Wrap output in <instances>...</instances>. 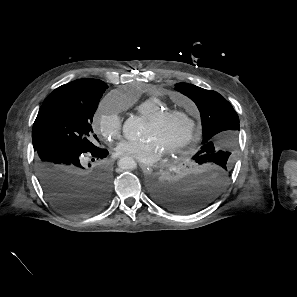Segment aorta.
<instances>
[{"label":"aorta","mask_w":297,"mask_h":297,"mask_svg":"<svg viewBox=\"0 0 297 297\" xmlns=\"http://www.w3.org/2000/svg\"><path fill=\"white\" fill-rule=\"evenodd\" d=\"M143 122L140 118L129 117L123 124L124 137L130 141H137L143 133ZM118 166L124 170H133L136 168V162L131 157H123L119 160Z\"/></svg>","instance_id":"obj_1"}]
</instances>
